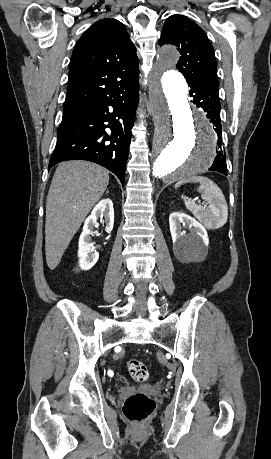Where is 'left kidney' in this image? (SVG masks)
Segmentation results:
<instances>
[{"label": "left kidney", "mask_w": 271, "mask_h": 459, "mask_svg": "<svg viewBox=\"0 0 271 459\" xmlns=\"http://www.w3.org/2000/svg\"><path fill=\"white\" fill-rule=\"evenodd\" d=\"M170 231L173 241V249L182 257H188L191 253H198L203 245H208V233L197 220L183 214L172 212L169 216ZM182 226H190L191 233L182 231Z\"/></svg>", "instance_id": "obj_1"}]
</instances>
